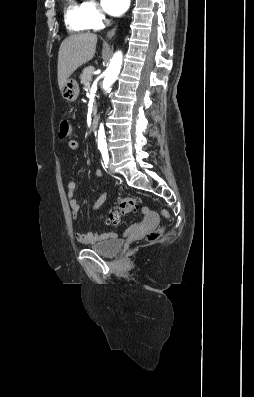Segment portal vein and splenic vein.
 <instances>
[{"label":"portal vein and splenic vein","instance_id":"portal-vein-and-splenic-vein-1","mask_svg":"<svg viewBox=\"0 0 254 397\" xmlns=\"http://www.w3.org/2000/svg\"><path fill=\"white\" fill-rule=\"evenodd\" d=\"M87 86L90 87V83H87Z\"/></svg>","mask_w":254,"mask_h":397}]
</instances>
